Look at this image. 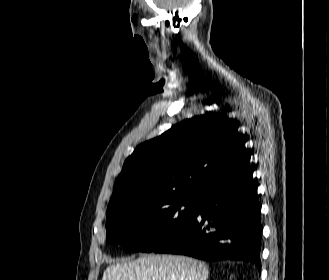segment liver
Returning <instances> with one entry per match:
<instances>
[{"label": "liver", "mask_w": 329, "mask_h": 280, "mask_svg": "<svg viewBox=\"0 0 329 280\" xmlns=\"http://www.w3.org/2000/svg\"><path fill=\"white\" fill-rule=\"evenodd\" d=\"M208 266L176 255H144L106 268L102 280H207Z\"/></svg>", "instance_id": "6515ba94"}]
</instances>
